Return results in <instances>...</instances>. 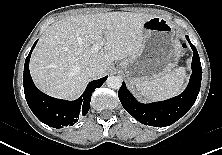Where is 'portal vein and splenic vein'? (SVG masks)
<instances>
[{"mask_svg":"<svg viewBox=\"0 0 222 155\" xmlns=\"http://www.w3.org/2000/svg\"><path fill=\"white\" fill-rule=\"evenodd\" d=\"M103 46V42H100V43H96L93 45V50L95 52L99 51L101 49V47Z\"/></svg>","mask_w":222,"mask_h":155,"instance_id":"1","label":"portal vein and splenic vein"}]
</instances>
